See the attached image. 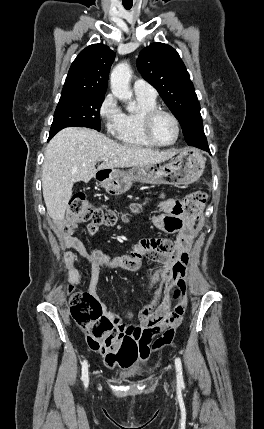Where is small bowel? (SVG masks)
I'll return each mask as SVG.
<instances>
[{
    "mask_svg": "<svg viewBox=\"0 0 264 429\" xmlns=\"http://www.w3.org/2000/svg\"><path fill=\"white\" fill-rule=\"evenodd\" d=\"M153 224L166 232L177 233L174 241L168 239H143L132 247L129 254L111 256L100 249L89 250L75 235L77 223L68 224L59 230V241L63 249H71L66 253V261L74 264L83 259L89 267V286L87 294L99 301L97 282L101 266L125 268L139 271L145 286L156 291L154 301L140 313L138 322L129 324L122 319L123 331L127 337L137 343V358L140 362L148 360L150 355L169 345L174 337L175 329L181 324L183 312L176 307L171 309V291L183 284L187 278L189 252L193 234L189 219L181 212L180 202L169 198L156 204V212L152 216ZM98 225L89 224L90 233H95ZM144 257H152L161 261L156 270L147 268ZM105 310V306L102 305ZM158 336L157 338H155Z\"/></svg>",
    "mask_w": 264,
    "mask_h": 429,
    "instance_id": "c3829d8e",
    "label": "small bowel"
}]
</instances>
